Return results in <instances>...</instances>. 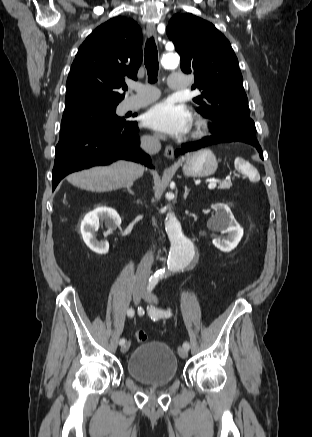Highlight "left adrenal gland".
Masks as SVG:
<instances>
[{"mask_svg":"<svg viewBox=\"0 0 312 437\" xmlns=\"http://www.w3.org/2000/svg\"><path fill=\"white\" fill-rule=\"evenodd\" d=\"M184 189H185L184 199L186 200V199H187V196H188V194H189L190 189L187 188V186H185Z\"/></svg>","mask_w":312,"mask_h":437,"instance_id":"obj_1","label":"left adrenal gland"}]
</instances>
